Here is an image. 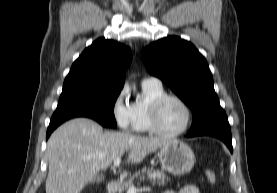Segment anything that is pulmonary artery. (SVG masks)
<instances>
[{
	"label": "pulmonary artery",
	"instance_id": "1",
	"mask_svg": "<svg viewBox=\"0 0 277 193\" xmlns=\"http://www.w3.org/2000/svg\"><path fill=\"white\" fill-rule=\"evenodd\" d=\"M142 86H153V87H162L161 81L156 77H144L142 79Z\"/></svg>",
	"mask_w": 277,
	"mask_h": 193
}]
</instances>
